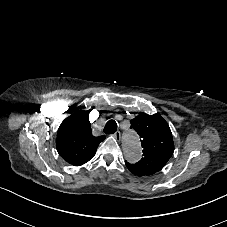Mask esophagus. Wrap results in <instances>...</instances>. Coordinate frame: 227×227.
<instances>
[{"instance_id": "34e87169", "label": "esophagus", "mask_w": 227, "mask_h": 227, "mask_svg": "<svg viewBox=\"0 0 227 227\" xmlns=\"http://www.w3.org/2000/svg\"><path fill=\"white\" fill-rule=\"evenodd\" d=\"M114 137H115V139H116L117 141H120V140H121V133H120L119 131H116V132L114 133Z\"/></svg>"}]
</instances>
